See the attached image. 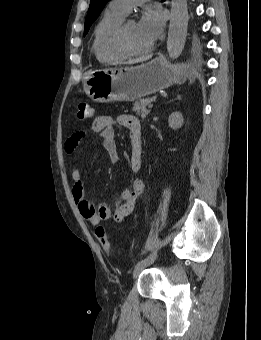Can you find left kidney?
Listing matches in <instances>:
<instances>
[{
  "mask_svg": "<svg viewBox=\"0 0 261 340\" xmlns=\"http://www.w3.org/2000/svg\"><path fill=\"white\" fill-rule=\"evenodd\" d=\"M183 121V116L180 112H174L168 118L169 127L173 130L181 128Z\"/></svg>",
  "mask_w": 261,
  "mask_h": 340,
  "instance_id": "obj_1",
  "label": "left kidney"
}]
</instances>
